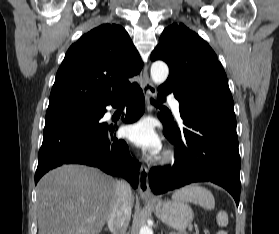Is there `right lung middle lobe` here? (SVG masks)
Segmentation results:
<instances>
[{
    "label": "right lung middle lobe",
    "instance_id": "obj_1",
    "mask_svg": "<svg viewBox=\"0 0 279 234\" xmlns=\"http://www.w3.org/2000/svg\"><path fill=\"white\" fill-rule=\"evenodd\" d=\"M99 108L85 106H60L47 109L46 125L57 122L90 119L95 116Z\"/></svg>",
    "mask_w": 279,
    "mask_h": 234
}]
</instances>
